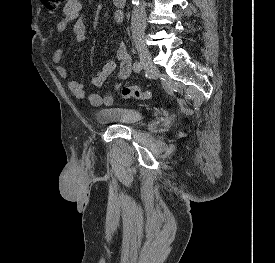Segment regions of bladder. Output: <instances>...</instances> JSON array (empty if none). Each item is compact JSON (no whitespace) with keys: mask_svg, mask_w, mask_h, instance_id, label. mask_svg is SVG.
<instances>
[{"mask_svg":"<svg viewBox=\"0 0 275 263\" xmlns=\"http://www.w3.org/2000/svg\"><path fill=\"white\" fill-rule=\"evenodd\" d=\"M99 123L135 124L146 119V114L136 108L106 106L95 112Z\"/></svg>","mask_w":275,"mask_h":263,"instance_id":"obj_1","label":"bladder"}]
</instances>
